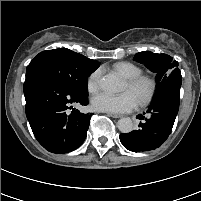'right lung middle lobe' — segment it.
Wrapping results in <instances>:
<instances>
[{
    "label": "right lung middle lobe",
    "instance_id": "1",
    "mask_svg": "<svg viewBox=\"0 0 201 201\" xmlns=\"http://www.w3.org/2000/svg\"><path fill=\"white\" fill-rule=\"evenodd\" d=\"M99 66L89 65L76 59L66 48L39 53L26 69V77L33 74L47 75L65 86L72 94L87 98L88 76Z\"/></svg>",
    "mask_w": 201,
    "mask_h": 201
}]
</instances>
